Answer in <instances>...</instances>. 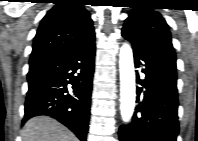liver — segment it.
Returning a JSON list of instances; mask_svg holds the SVG:
<instances>
[{"label":"liver","instance_id":"1","mask_svg":"<svg viewBox=\"0 0 198 141\" xmlns=\"http://www.w3.org/2000/svg\"><path fill=\"white\" fill-rule=\"evenodd\" d=\"M21 137L22 141H78L69 129L46 116L28 120L21 131Z\"/></svg>","mask_w":198,"mask_h":141}]
</instances>
